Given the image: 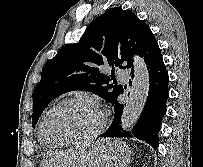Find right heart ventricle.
I'll return each mask as SVG.
<instances>
[{
	"label": "right heart ventricle",
	"instance_id": "e07e8e85",
	"mask_svg": "<svg viewBox=\"0 0 203 167\" xmlns=\"http://www.w3.org/2000/svg\"><path fill=\"white\" fill-rule=\"evenodd\" d=\"M39 140H40L41 144H42L43 146L47 147V148L55 147L54 145L45 143V142L41 139L40 134H39Z\"/></svg>",
	"mask_w": 203,
	"mask_h": 167
}]
</instances>
